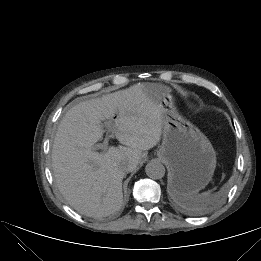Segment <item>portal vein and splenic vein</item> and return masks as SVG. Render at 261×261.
<instances>
[{
	"mask_svg": "<svg viewBox=\"0 0 261 261\" xmlns=\"http://www.w3.org/2000/svg\"><path fill=\"white\" fill-rule=\"evenodd\" d=\"M105 126L107 128V136L104 139L103 143L97 145L98 149H101V151L103 153L108 150V142H109V138L111 137L110 133H113V128H112V122L111 121L106 122Z\"/></svg>",
	"mask_w": 261,
	"mask_h": 261,
	"instance_id": "18ae733b",
	"label": "portal vein and splenic vein"
}]
</instances>
